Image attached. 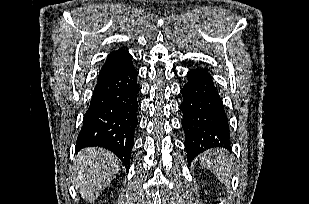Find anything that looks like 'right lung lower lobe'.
Masks as SVG:
<instances>
[{"mask_svg": "<svg viewBox=\"0 0 309 204\" xmlns=\"http://www.w3.org/2000/svg\"><path fill=\"white\" fill-rule=\"evenodd\" d=\"M133 64L98 79L76 142V151L103 147L130 165L137 125L139 86Z\"/></svg>", "mask_w": 309, "mask_h": 204, "instance_id": "98d812e1", "label": "right lung lower lobe"}]
</instances>
